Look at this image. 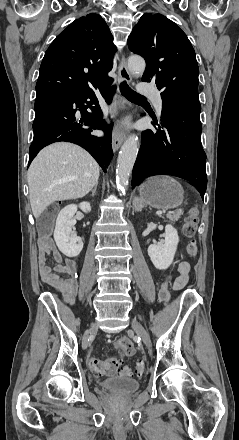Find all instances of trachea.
Instances as JSON below:
<instances>
[{
  "label": "trachea",
  "instance_id": "3493384b",
  "mask_svg": "<svg viewBox=\"0 0 239 440\" xmlns=\"http://www.w3.org/2000/svg\"><path fill=\"white\" fill-rule=\"evenodd\" d=\"M120 91L122 95H124V97L128 98V100L134 101L136 103H139L140 101H146L145 97L137 92H134V90L129 87L126 81L121 83Z\"/></svg>",
  "mask_w": 239,
  "mask_h": 440
}]
</instances>
